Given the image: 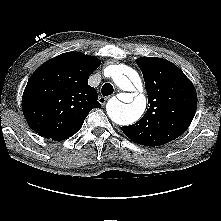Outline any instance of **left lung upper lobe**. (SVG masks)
<instances>
[{
  "label": "left lung upper lobe",
  "mask_w": 221,
  "mask_h": 221,
  "mask_svg": "<svg viewBox=\"0 0 221 221\" xmlns=\"http://www.w3.org/2000/svg\"><path fill=\"white\" fill-rule=\"evenodd\" d=\"M136 63L145 80L149 108L138 122L121 129L135 143L166 144L191 124L197 108L196 90L185 74L165 59L141 57Z\"/></svg>",
  "instance_id": "obj_1"
}]
</instances>
